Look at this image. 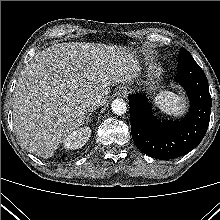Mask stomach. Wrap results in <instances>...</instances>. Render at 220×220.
<instances>
[{"label": "stomach", "mask_w": 220, "mask_h": 220, "mask_svg": "<svg viewBox=\"0 0 220 220\" xmlns=\"http://www.w3.org/2000/svg\"><path fill=\"white\" fill-rule=\"evenodd\" d=\"M159 77V72L154 68H150L147 71L146 81L144 82V84L147 86L149 90H156L158 87Z\"/></svg>", "instance_id": "obj_1"}]
</instances>
